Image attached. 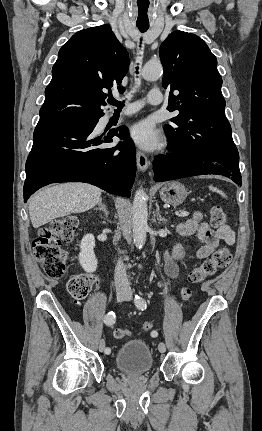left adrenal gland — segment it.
I'll return each mask as SVG.
<instances>
[{"label": "left adrenal gland", "instance_id": "left-adrenal-gland-1", "mask_svg": "<svg viewBox=\"0 0 262 431\" xmlns=\"http://www.w3.org/2000/svg\"><path fill=\"white\" fill-rule=\"evenodd\" d=\"M156 212H157V220H158L159 222H166V221H167L165 218L161 217L159 207H157Z\"/></svg>", "mask_w": 262, "mask_h": 431}]
</instances>
